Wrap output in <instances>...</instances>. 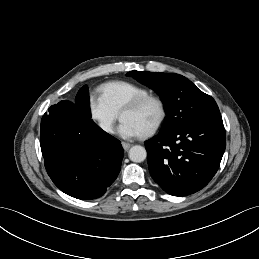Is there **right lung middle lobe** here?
Segmentation results:
<instances>
[{"label":"right lung middle lobe","instance_id":"right-lung-middle-lobe-1","mask_svg":"<svg viewBox=\"0 0 259 259\" xmlns=\"http://www.w3.org/2000/svg\"><path fill=\"white\" fill-rule=\"evenodd\" d=\"M75 105L83 116L91 119L88 88L86 85H84L77 93V96L75 98Z\"/></svg>","mask_w":259,"mask_h":259}]
</instances>
